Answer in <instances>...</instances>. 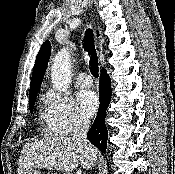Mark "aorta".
<instances>
[{"instance_id": "aorta-1", "label": "aorta", "mask_w": 175, "mask_h": 174, "mask_svg": "<svg viewBox=\"0 0 175 174\" xmlns=\"http://www.w3.org/2000/svg\"><path fill=\"white\" fill-rule=\"evenodd\" d=\"M70 52L67 48L61 49L53 59L51 79L53 87L59 91H66L71 82Z\"/></svg>"}]
</instances>
